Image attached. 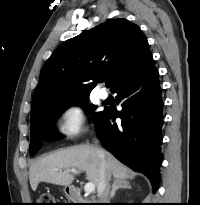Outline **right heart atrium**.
<instances>
[{
    "mask_svg": "<svg viewBox=\"0 0 200 205\" xmlns=\"http://www.w3.org/2000/svg\"><path fill=\"white\" fill-rule=\"evenodd\" d=\"M88 123L84 107L79 103H70L59 114L58 131L64 137L74 138L87 129Z\"/></svg>",
    "mask_w": 200,
    "mask_h": 205,
    "instance_id": "d8ad5b80",
    "label": "right heart atrium"
}]
</instances>
